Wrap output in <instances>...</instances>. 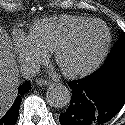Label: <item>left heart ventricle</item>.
Returning <instances> with one entry per match:
<instances>
[{
    "instance_id": "left-heart-ventricle-1",
    "label": "left heart ventricle",
    "mask_w": 125,
    "mask_h": 125,
    "mask_svg": "<svg viewBox=\"0 0 125 125\" xmlns=\"http://www.w3.org/2000/svg\"><path fill=\"white\" fill-rule=\"evenodd\" d=\"M105 32L100 25L83 30L61 54V65L66 70H76L94 60L102 49Z\"/></svg>"
}]
</instances>
